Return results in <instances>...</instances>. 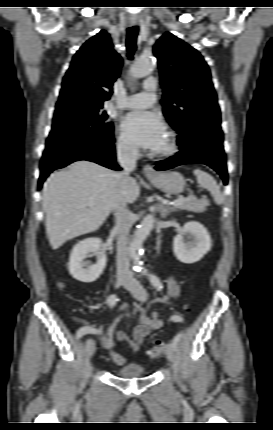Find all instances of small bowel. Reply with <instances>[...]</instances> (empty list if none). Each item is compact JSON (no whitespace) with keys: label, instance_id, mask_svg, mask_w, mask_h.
I'll return each instance as SVG.
<instances>
[{"label":"small bowel","instance_id":"c3829d8e","mask_svg":"<svg viewBox=\"0 0 273 430\" xmlns=\"http://www.w3.org/2000/svg\"><path fill=\"white\" fill-rule=\"evenodd\" d=\"M180 293V286L178 281L174 277H170L167 283V293L156 299L158 302L167 303L172 298L177 297ZM121 314L126 315L128 308L126 306L121 307ZM183 318L180 317V321ZM163 323L158 313H152L151 316L146 317L141 315L139 324L133 330V338L130 339L122 328L114 325L108 330L106 334H103L100 338V346L108 350L111 353L115 352L116 346L114 343V335L117 339L125 343L131 350L137 352L142 346L144 339L154 330H158L162 327ZM102 330L92 325H84L77 331L78 336H84L88 334H101Z\"/></svg>","mask_w":273,"mask_h":430}]
</instances>
